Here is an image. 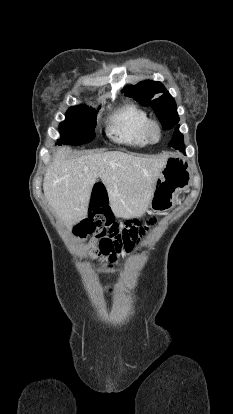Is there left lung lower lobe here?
<instances>
[{"instance_id": "left-lung-lower-lobe-1", "label": "left lung lower lobe", "mask_w": 233, "mask_h": 414, "mask_svg": "<svg viewBox=\"0 0 233 414\" xmlns=\"http://www.w3.org/2000/svg\"><path fill=\"white\" fill-rule=\"evenodd\" d=\"M178 128L176 129L169 146L175 147L180 151H184L183 135L179 132Z\"/></svg>"}]
</instances>
